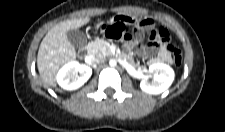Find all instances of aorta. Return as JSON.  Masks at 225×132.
I'll return each mask as SVG.
<instances>
[{"label": "aorta", "instance_id": "762f6f07", "mask_svg": "<svg viewBox=\"0 0 225 132\" xmlns=\"http://www.w3.org/2000/svg\"><path fill=\"white\" fill-rule=\"evenodd\" d=\"M109 64H110V66H115L116 65V61L115 60H110Z\"/></svg>", "mask_w": 225, "mask_h": 132}]
</instances>
